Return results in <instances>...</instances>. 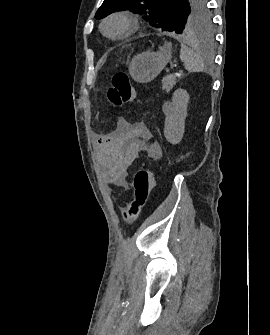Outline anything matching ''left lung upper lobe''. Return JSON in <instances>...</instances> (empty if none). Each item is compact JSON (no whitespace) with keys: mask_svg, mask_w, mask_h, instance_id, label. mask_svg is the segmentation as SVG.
<instances>
[{"mask_svg":"<svg viewBox=\"0 0 270 335\" xmlns=\"http://www.w3.org/2000/svg\"><path fill=\"white\" fill-rule=\"evenodd\" d=\"M208 0H104L95 18L115 11L130 10L162 31L191 34L211 28Z\"/></svg>","mask_w":270,"mask_h":335,"instance_id":"left-lung-upper-lobe-1","label":"left lung upper lobe"}]
</instances>
